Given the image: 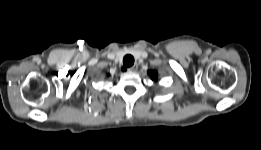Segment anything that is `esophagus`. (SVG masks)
<instances>
[{
	"label": "esophagus",
	"mask_w": 261,
	"mask_h": 150,
	"mask_svg": "<svg viewBox=\"0 0 261 150\" xmlns=\"http://www.w3.org/2000/svg\"><path fill=\"white\" fill-rule=\"evenodd\" d=\"M137 70V65H132L131 67L128 68V71L134 72Z\"/></svg>",
	"instance_id": "obj_1"
}]
</instances>
